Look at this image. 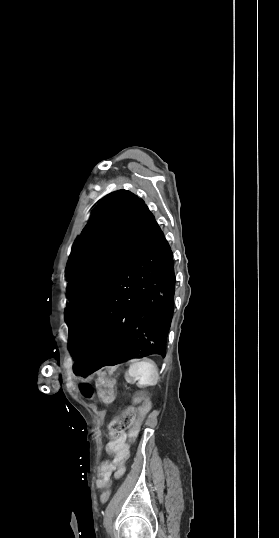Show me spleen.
<instances>
[{
  "mask_svg": "<svg viewBox=\"0 0 279 538\" xmlns=\"http://www.w3.org/2000/svg\"><path fill=\"white\" fill-rule=\"evenodd\" d=\"M133 364L129 370V375L134 376V380H139V387H150L157 384L159 378L158 370L154 362H138V360H132Z\"/></svg>",
  "mask_w": 279,
  "mask_h": 538,
  "instance_id": "obj_1",
  "label": "spleen"
}]
</instances>
